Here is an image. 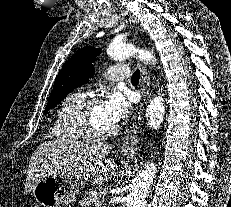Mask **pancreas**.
<instances>
[{
	"label": "pancreas",
	"instance_id": "pancreas-1",
	"mask_svg": "<svg viewBox=\"0 0 231 207\" xmlns=\"http://www.w3.org/2000/svg\"><path fill=\"white\" fill-rule=\"evenodd\" d=\"M104 194L101 189L92 190L88 192L80 201L79 204L81 207H89L95 203H102Z\"/></svg>",
	"mask_w": 231,
	"mask_h": 207
}]
</instances>
